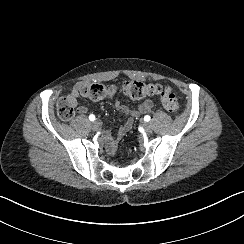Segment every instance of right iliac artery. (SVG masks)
Returning <instances> with one entry per match:
<instances>
[{
    "label": "right iliac artery",
    "mask_w": 244,
    "mask_h": 244,
    "mask_svg": "<svg viewBox=\"0 0 244 244\" xmlns=\"http://www.w3.org/2000/svg\"><path fill=\"white\" fill-rule=\"evenodd\" d=\"M89 120H90V121H94V120H95V116H94L93 114H91V115L89 116Z\"/></svg>",
    "instance_id": "1"
}]
</instances>
